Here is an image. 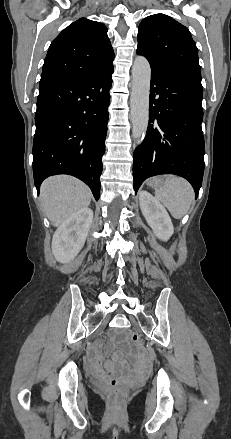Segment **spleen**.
Returning <instances> with one entry per match:
<instances>
[{"instance_id": "1", "label": "spleen", "mask_w": 231, "mask_h": 439, "mask_svg": "<svg viewBox=\"0 0 231 439\" xmlns=\"http://www.w3.org/2000/svg\"><path fill=\"white\" fill-rule=\"evenodd\" d=\"M155 196L174 218L181 219L191 206L194 190L184 179L169 176L155 188Z\"/></svg>"}]
</instances>
